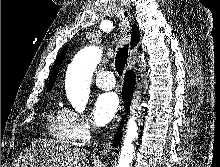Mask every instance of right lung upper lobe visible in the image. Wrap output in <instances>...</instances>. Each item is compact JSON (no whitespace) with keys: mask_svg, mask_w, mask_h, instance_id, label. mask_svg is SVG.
Wrapping results in <instances>:
<instances>
[{"mask_svg":"<svg viewBox=\"0 0 220 167\" xmlns=\"http://www.w3.org/2000/svg\"><path fill=\"white\" fill-rule=\"evenodd\" d=\"M139 40H140V31H139V28L136 26V25H133L132 27V32H131V47H135L138 43H139ZM66 50H67V46H65L54 66H53V70H52V73H51V77H50V81H49V84H48V91L53 87L54 83H55V80H56V77H57V72L59 70V67L64 59V56H65V53H66ZM139 50H140V47H139Z\"/></svg>","mask_w":220,"mask_h":167,"instance_id":"obj_1","label":"right lung upper lobe"}]
</instances>
